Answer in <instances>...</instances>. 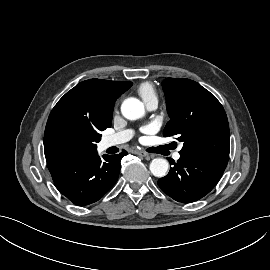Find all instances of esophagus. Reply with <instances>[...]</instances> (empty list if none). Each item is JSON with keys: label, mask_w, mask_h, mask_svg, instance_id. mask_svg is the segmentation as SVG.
Wrapping results in <instances>:
<instances>
[{"label": "esophagus", "mask_w": 270, "mask_h": 270, "mask_svg": "<svg viewBox=\"0 0 270 270\" xmlns=\"http://www.w3.org/2000/svg\"><path fill=\"white\" fill-rule=\"evenodd\" d=\"M135 154L143 156V157H150L149 153H147L146 151H142V150L135 151Z\"/></svg>", "instance_id": "34e87169"}]
</instances>
